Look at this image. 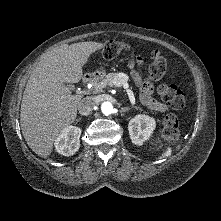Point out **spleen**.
I'll return each instance as SVG.
<instances>
[{
  "label": "spleen",
  "mask_w": 221,
  "mask_h": 221,
  "mask_svg": "<svg viewBox=\"0 0 221 221\" xmlns=\"http://www.w3.org/2000/svg\"><path fill=\"white\" fill-rule=\"evenodd\" d=\"M180 148V145L177 147V149ZM171 155V148H168L165 153L162 155V157H169Z\"/></svg>",
  "instance_id": "obj_1"
}]
</instances>
